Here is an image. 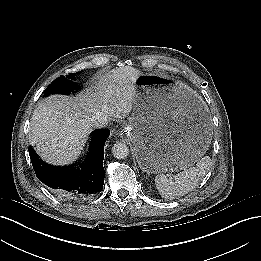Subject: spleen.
<instances>
[{
    "mask_svg": "<svg viewBox=\"0 0 261 261\" xmlns=\"http://www.w3.org/2000/svg\"><path fill=\"white\" fill-rule=\"evenodd\" d=\"M210 164V157L205 156L196 163V166L185 169L173 177L164 174L157 175L155 177L156 188L166 200L184 196L196 188Z\"/></svg>",
    "mask_w": 261,
    "mask_h": 261,
    "instance_id": "spleen-1",
    "label": "spleen"
}]
</instances>
